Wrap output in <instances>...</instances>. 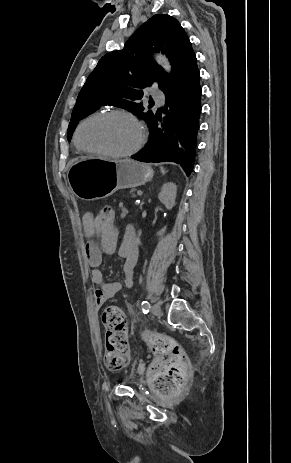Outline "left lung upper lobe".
<instances>
[{"mask_svg": "<svg viewBox=\"0 0 291 463\" xmlns=\"http://www.w3.org/2000/svg\"><path fill=\"white\" fill-rule=\"evenodd\" d=\"M160 51L170 61V75L152 59V54ZM196 62L191 42L179 22L169 15H154L136 30L122 50L108 53L99 60L77 97L68 126V140L81 119L105 105L131 111L148 124L154 114L144 112L143 89L155 81L167 92L197 68Z\"/></svg>", "mask_w": 291, "mask_h": 463, "instance_id": "5c2ea615", "label": "left lung upper lobe"}]
</instances>
